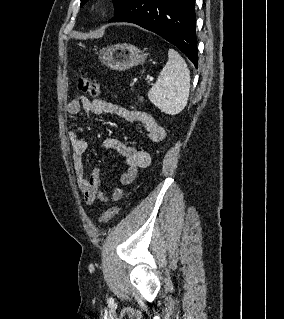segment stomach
Masks as SVG:
<instances>
[{
    "label": "stomach",
    "instance_id": "obj_1",
    "mask_svg": "<svg viewBox=\"0 0 284 319\" xmlns=\"http://www.w3.org/2000/svg\"><path fill=\"white\" fill-rule=\"evenodd\" d=\"M98 56L107 67L114 70H126L143 64L148 54L134 45L118 43L102 48Z\"/></svg>",
    "mask_w": 284,
    "mask_h": 319
}]
</instances>
